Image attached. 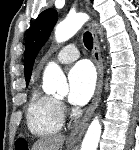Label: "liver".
<instances>
[{"label":"liver","mask_w":139,"mask_h":150,"mask_svg":"<svg viewBox=\"0 0 139 150\" xmlns=\"http://www.w3.org/2000/svg\"><path fill=\"white\" fill-rule=\"evenodd\" d=\"M64 140L63 135L45 136L34 143L32 150H60Z\"/></svg>","instance_id":"obj_1"}]
</instances>
